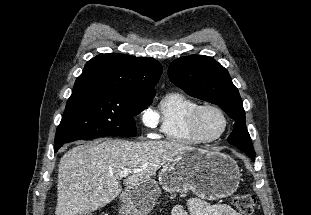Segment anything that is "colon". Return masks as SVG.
I'll list each match as a JSON object with an SVG mask.
<instances>
[{
  "label": "colon",
  "instance_id": "colon-1",
  "mask_svg": "<svg viewBox=\"0 0 311 215\" xmlns=\"http://www.w3.org/2000/svg\"><path fill=\"white\" fill-rule=\"evenodd\" d=\"M232 202L240 215H251L254 211L256 199L249 193H237L233 196Z\"/></svg>",
  "mask_w": 311,
  "mask_h": 215
}]
</instances>
